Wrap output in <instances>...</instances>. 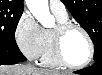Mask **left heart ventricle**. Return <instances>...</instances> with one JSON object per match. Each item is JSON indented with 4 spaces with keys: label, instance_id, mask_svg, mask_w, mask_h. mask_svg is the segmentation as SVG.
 Returning <instances> with one entry per match:
<instances>
[{
    "label": "left heart ventricle",
    "instance_id": "left-heart-ventricle-1",
    "mask_svg": "<svg viewBox=\"0 0 102 75\" xmlns=\"http://www.w3.org/2000/svg\"><path fill=\"white\" fill-rule=\"evenodd\" d=\"M63 52L70 62H78L89 54V45L84 34L77 30H71L63 40Z\"/></svg>",
    "mask_w": 102,
    "mask_h": 75
}]
</instances>
